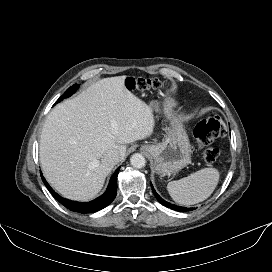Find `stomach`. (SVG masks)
I'll return each mask as SVG.
<instances>
[{
    "label": "stomach",
    "instance_id": "obj_1",
    "mask_svg": "<svg viewBox=\"0 0 272 272\" xmlns=\"http://www.w3.org/2000/svg\"><path fill=\"white\" fill-rule=\"evenodd\" d=\"M154 113L162 110L161 103L153 100L149 104ZM161 143L146 144L141 149L154 159L157 174L166 176L178 172L191 161V146L184 128L178 124H171Z\"/></svg>",
    "mask_w": 272,
    "mask_h": 272
}]
</instances>
